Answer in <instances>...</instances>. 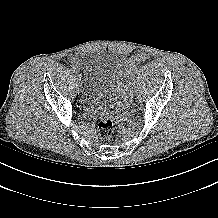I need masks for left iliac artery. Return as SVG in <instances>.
Listing matches in <instances>:
<instances>
[{"mask_svg": "<svg viewBox=\"0 0 218 218\" xmlns=\"http://www.w3.org/2000/svg\"><path fill=\"white\" fill-rule=\"evenodd\" d=\"M130 83L133 85L135 82L132 80ZM129 90H130L131 92H133V91H134V90H133V86H131V85H130V86H127V92H128Z\"/></svg>", "mask_w": 218, "mask_h": 218, "instance_id": "left-iliac-artery-1", "label": "left iliac artery"}]
</instances>
